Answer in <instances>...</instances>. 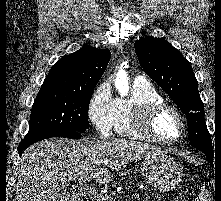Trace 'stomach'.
Instances as JSON below:
<instances>
[{
    "label": "stomach",
    "instance_id": "stomach-1",
    "mask_svg": "<svg viewBox=\"0 0 221 201\" xmlns=\"http://www.w3.org/2000/svg\"><path fill=\"white\" fill-rule=\"evenodd\" d=\"M142 175L161 192L176 188L182 177L178 163L167 151H159L144 157L141 164Z\"/></svg>",
    "mask_w": 221,
    "mask_h": 201
}]
</instances>
